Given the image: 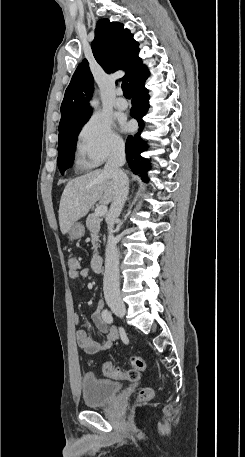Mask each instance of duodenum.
<instances>
[{"mask_svg": "<svg viewBox=\"0 0 245 457\" xmlns=\"http://www.w3.org/2000/svg\"><path fill=\"white\" fill-rule=\"evenodd\" d=\"M103 257L101 255H95L92 258V269L95 272H99L102 269Z\"/></svg>", "mask_w": 245, "mask_h": 457, "instance_id": "410a0bca", "label": "duodenum"}]
</instances>
